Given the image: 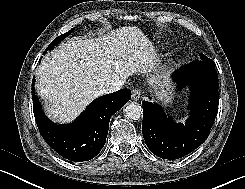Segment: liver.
Instances as JSON below:
<instances>
[{"label":"liver","mask_w":245,"mask_h":189,"mask_svg":"<svg viewBox=\"0 0 245 189\" xmlns=\"http://www.w3.org/2000/svg\"><path fill=\"white\" fill-rule=\"evenodd\" d=\"M158 58L153 43L134 26L89 39L72 38L38 66L36 90L48 117L69 123L113 82L141 73L148 84H156Z\"/></svg>","instance_id":"liver-1"}]
</instances>
